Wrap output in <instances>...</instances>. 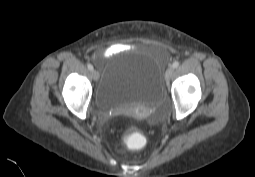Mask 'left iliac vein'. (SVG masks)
Instances as JSON below:
<instances>
[{"label":"left iliac vein","instance_id":"obj_1","mask_svg":"<svg viewBox=\"0 0 255 177\" xmlns=\"http://www.w3.org/2000/svg\"><path fill=\"white\" fill-rule=\"evenodd\" d=\"M173 73H174V68L173 67H169L166 72H165V81L168 82L172 76H173Z\"/></svg>","mask_w":255,"mask_h":177}]
</instances>
